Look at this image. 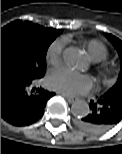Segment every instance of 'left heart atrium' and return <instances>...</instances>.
<instances>
[{"instance_id":"1","label":"left heart atrium","mask_w":122,"mask_h":154,"mask_svg":"<svg viewBox=\"0 0 122 154\" xmlns=\"http://www.w3.org/2000/svg\"><path fill=\"white\" fill-rule=\"evenodd\" d=\"M47 85L52 90L68 96L86 94L92 89V81L88 76L67 68L51 71L47 77Z\"/></svg>"}]
</instances>
